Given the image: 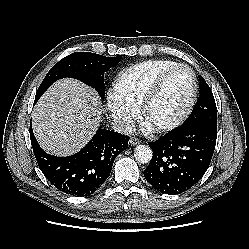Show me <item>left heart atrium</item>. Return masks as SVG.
Wrapping results in <instances>:
<instances>
[{
	"label": "left heart atrium",
	"instance_id": "39dd6f15",
	"mask_svg": "<svg viewBox=\"0 0 249 249\" xmlns=\"http://www.w3.org/2000/svg\"><path fill=\"white\" fill-rule=\"evenodd\" d=\"M151 128H152V126L147 123L146 124V129L150 130Z\"/></svg>",
	"mask_w": 249,
	"mask_h": 249
}]
</instances>
